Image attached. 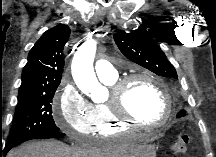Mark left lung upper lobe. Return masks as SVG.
<instances>
[{"label": "left lung upper lobe", "instance_id": "obj_1", "mask_svg": "<svg viewBox=\"0 0 216 157\" xmlns=\"http://www.w3.org/2000/svg\"><path fill=\"white\" fill-rule=\"evenodd\" d=\"M114 41L124 56L159 76L177 79L174 66L157 45L151 32L135 30L114 34ZM181 114L184 111L180 112Z\"/></svg>", "mask_w": 216, "mask_h": 157}]
</instances>
